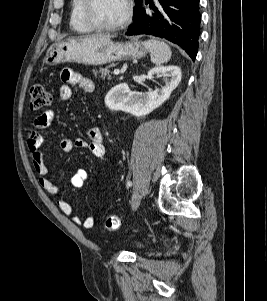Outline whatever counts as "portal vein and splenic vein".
Listing matches in <instances>:
<instances>
[{
	"instance_id": "obj_1",
	"label": "portal vein and splenic vein",
	"mask_w": 267,
	"mask_h": 301,
	"mask_svg": "<svg viewBox=\"0 0 267 301\" xmlns=\"http://www.w3.org/2000/svg\"><path fill=\"white\" fill-rule=\"evenodd\" d=\"M120 72H121V71H120V69H118V68H117V69H114V71H113L114 75H119Z\"/></svg>"
}]
</instances>
